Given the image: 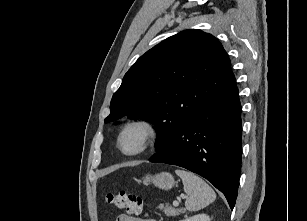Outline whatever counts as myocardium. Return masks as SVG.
<instances>
[{
	"label": "myocardium",
	"mask_w": 307,
	"mask_h": 221,
	"mask_svg": "<svg viewBox=\"0 0 307 221\" xmlns=\"http://www.w3.org/2000/svg\"><path fill=\"white\" fill-rule=\"evenodd\" d=\"M131 129H138L142 133L141 143L138 148L126 151L122 147L124 135ZM158 135V130L153 121L148 118H137L127 122L121 129L117 137V148L125 156H136L145 152L154 142Z\"/></svg>",
	"instance_id": "obj_1"
}]
</instances>
